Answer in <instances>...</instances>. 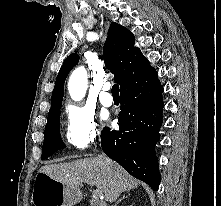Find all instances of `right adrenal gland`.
<instances>
[{"label": "right adrenal gland", "instance_id": "1", "mask_svg": "<svg viewBox=\"0 0 221 206\" xmlns=\"http://www.w3.org/2000/svg\"><path fill=\"white\" fill-rule=\"evenodd\" d=\"M127 196L126 195H123L118 201H116V203L112 206H117L121 201H123L124 199H126Z\"/></svg>", "mask_w": 221, "mask_h": 206}]
</instances>
